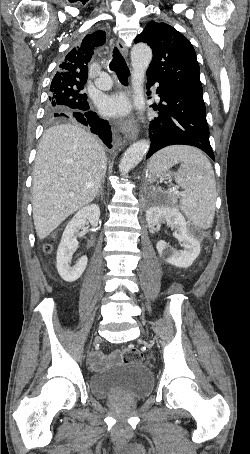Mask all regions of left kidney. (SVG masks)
<instances>
[{"mask_svg":"<svg viewBox=\"0 0 250 454\" xmlns=\"http://www.w3.org/2000/svg\"><path fill=\"white\" fill-rule=\"evenodd\" d=\"M146 221L153 227L167 223L175 230L174 236L184 248L182 251H177L164 240H160L156 244L160 256L176 267L187 268L192 265L200 253V241L176 207L168 205L152 207L146 213Z\"/></svg>","mask_w":250,"mask_h":454,"instance_id":"left-kidney-1","label":"left kidney"}]
</instances>
